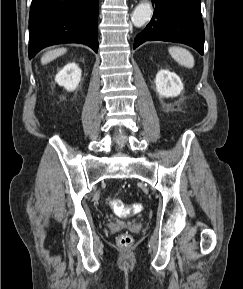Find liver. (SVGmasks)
I'll use <instances>...</instances> for the list:
<instances>
[{
    "mask_svg": "<svg viewBox=\"0 0 243 289\" xmlns=\"http://www.w3.org/2000/svg\"><path fill=\"white\" fill-rule=\"evenodd\" d=\"M67 49L66 48H58V49H53L47 51L41 58V63L43 65L51 62L52 60L56 59L57 57L63 55L66 53Z\"/></svg>",
    "mask_w": 243,
    "mask_h": 289,
    "instance_id": "6515ba94",
    "label": "liver"
}]
</instances>
